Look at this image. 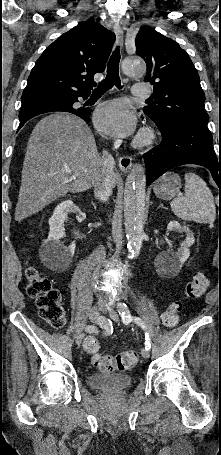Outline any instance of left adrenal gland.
Returning a JSON list of instances; mask_svg holds the SVG:
<instances>
[{
  "label": "left adrenal gland",
  "instance_id": "a2214340",
  "mask_svg": "<svg viewBox=\"0 0 221 455\" xmlns=\"http://www.w3.org/2000/svg\"><path fill=\"white\" fill-rule=\"evenodd\" d=\"M158 208H165V207L163 206V204H160V206Z\"/></svg>",
  "mask_w": 221,
  "mask_h": 455
}]
</instances>
